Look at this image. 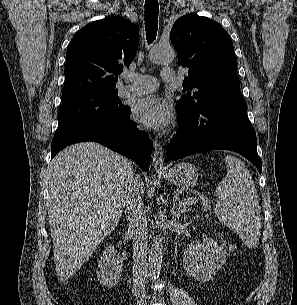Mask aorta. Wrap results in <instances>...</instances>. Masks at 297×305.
I'll list each match as a JSON object with an SVG mask.
<instances>
[{"mask_svg": "<svg viewBox=\"0 0 297 305\" xmlns=\"http://www.w3.org/2000/svg\"><path fill=\"white\" fill-rule=\"evenodd\" d=\"M175 58V50L172 46H155L150 54L149 59L152 63L162 64L170 63ZM163 258V237L161 234L157 235L151 244L149 251V276L152 279H157L160 275Z\"/></svg>", "mask_w": 297, "mask_h": 305, "instance_id": "762f6f07", "label": "aorta"}]
</instances>
